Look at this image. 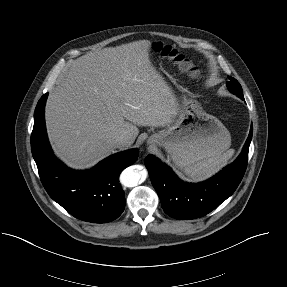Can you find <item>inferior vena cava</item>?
<instances>
[{"mask_svg":"<svg viewBox=\"0 0 287 287\" xmlns=\"http://www.w3.org/2000/svg\"><path fill=\"white\" fill-rule=\"evenodd\" d=\"M111 143L115 148H122V147H125L129 143V140L126 136L120 135V136L114 137Z\"/></svg>","mask_w":287,"mask_h":287,"instance_id":"inferior-vena-cava-1","label":"inferior vena cava"}]
</instances>
